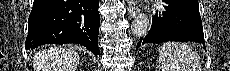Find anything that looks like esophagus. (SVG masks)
I'll return each mask as SVG.
<instances>
[{"label": "esophagus", "instance_id": "34e87169", "mask_svg": "<svg viewBox=\"0 0 230 71\" xmlns=\"http://www.w3.org/2000/svg\"><path fill=\"white\" fill-rule=\"evenodd\" d=\"M139 11L138 6L130 2L128 7V14L131 18L135 17L137 12Z\"/></svg>", "mask_w": 230, "mask_h": 71}]
</instances>
